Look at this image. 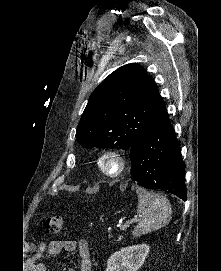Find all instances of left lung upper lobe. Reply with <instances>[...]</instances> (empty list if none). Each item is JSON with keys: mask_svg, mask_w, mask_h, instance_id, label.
Returning a JSON list of instances; mask_svg holds the SVG:
<instances>
[{"mask_svg": "<svg viewBox=\"0 0 221 271\" xmlns=\"http://www.w3.org/2000/svg\"><path fill=\"white\" fill-rule=\"evenodd\" d=\"M168 116L145 69L127 64L112 72L91 94L76 131L85 148L130 150L151 127Z\"/></svg>", "mask_w": 221, "mask_h": 271, "instance_id": "obj_1", "label": "left lung upper lobe"}]
</instances>
